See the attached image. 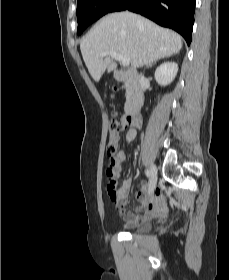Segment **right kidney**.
<instances>
[{
    "label": "right kidney",
    "mask_w": 229,
    "mask_h": 280,
    "mask_svg": "<svg viewBox=\"0 0 229 280\" xmlns=\"http://www.w3.org/2000/svg\"><path fill=\"white\" fill-rule=\"evenodd\" d=\"M178 72V65L175 62L161 64L155 71V80L160 85L170 84Z\"/></svg>",
    "instance_id": "right-kidney-1"
}]
</instances>
